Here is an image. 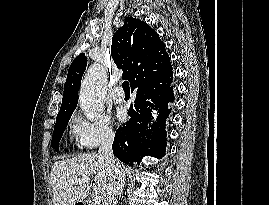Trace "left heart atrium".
Wrapping results in <instances>:
<instances>
[{"label": "left heart atrium", "instance_id": "obj_1", "mask_svg": "<svg viewBox=\"0 0 269 205\" xmlns=\"http://www.w3.org/2000/svg\"><path fill=\"white\" fill-rule=\"evenodd\" d=\"M118 118L119 119H123L124 118V114L122 112H118Z\"/></svg>", "mask_w": 269, "mask_h": 205}]
</instances>
